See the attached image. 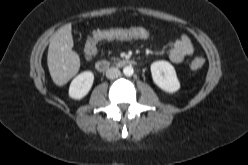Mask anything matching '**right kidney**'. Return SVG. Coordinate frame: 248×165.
Here are the masks:
<instances>
[{
  "instance_id": "right-kidney-1",
  "label": "right kidney",
  "mask_w": 248,
  "mask_h": 165,
  "mask_svg": "<svg viewBox=\"0 0 248 165\" xmlns=\"http://www.w3.org/2000/svg\"><path fill=\"white\" fill-rule=\"evenodd\" d=\"M94 81V74L84 71L76 76L69 87V96L73 99H82L90 91Z\"/></svg>"
}]
</instances>
